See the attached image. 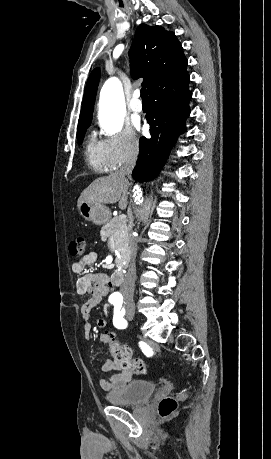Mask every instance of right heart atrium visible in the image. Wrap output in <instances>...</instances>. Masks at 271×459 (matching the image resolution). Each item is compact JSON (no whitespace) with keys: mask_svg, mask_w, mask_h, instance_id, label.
<instances>
[{"mask_svg":"<svg viewBox=\"0 0 271 459\" xmlns=\"http://www.w3.org/2000/svg\"><path fill=\"white\" fill-rule=\"evenodd\" d=\"M99 145L111 169L119 167L125 160L134 159L140 151L139 138L129 126L110 134Z\"/></svg>","mask_w":271,"mask_h":459,"instance_id":"obj_1","label":"right heart atrium"}]
</instances>
